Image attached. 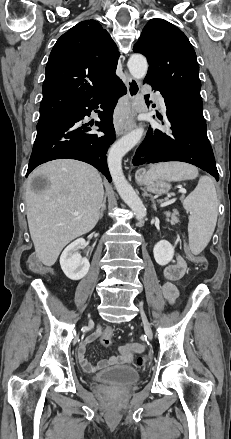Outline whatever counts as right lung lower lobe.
<instances>
[{"label":"right lung lower lobe","mask_w":231,"mask_h":439,"mask_svg":"<svg viewBox=\"0 0 231 439\" xmlns=\"http://www.w3.org/2000/svg\"><path fill=\"white\" fill-rule=\"evenodd\" d=\"M126 92V87L118 78L106 92L94 96V101L87 100L57 116L39 121L26 177L42 163L70 158L93 165L111 182L106 153L115 141L112 115L118 98ZM98 105L103 111L99 113L100 121H96L95 125L104 135L92 131L90 126L93 123L90 126L82 123L84 116H89Z\"/></svg>","instance_id":"right-lung-lower-lobe-1"}]
</instances>
